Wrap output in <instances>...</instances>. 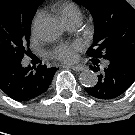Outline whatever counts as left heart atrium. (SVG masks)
Here are the masks:
<instances>
[{"label":"left heart atrium","instance_id":"39dd6f15","mask_svg":"<svg viewBox=\"0 0 135 135\" xmlns=\"http://www.w3.org/2000/svg\"><path fill=\"white\" fill-rule=\"evenodd\" d=\"M79 48L80 46L77 44L72 46L60 45L53 50L51 55L58 60L72 62L76 59V52Z\"/></svg>","mask_w":135,"mask_h":135}]
</instances>
